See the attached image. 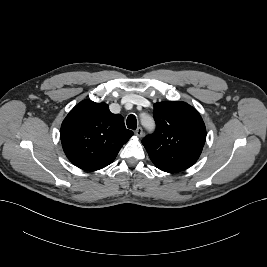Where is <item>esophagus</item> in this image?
I'll return each instance as SVG.
<instances>
[{
    "label": "esophagus",
    "instance_id": "1",
    "mask_svg": "<svg viewBox=\"0 0 267 267\" xmlns=\"http://www.w3.org/2000/svg\"><path fill=\"white\" fill-rule=\"evenodd\" d=\"M135 135L138 136V137H142L143 136V129L141 127H138L135 130Z\"/></svg>",
    "mask_w": 267,
    "mask_h": 267
}]
</instances>
